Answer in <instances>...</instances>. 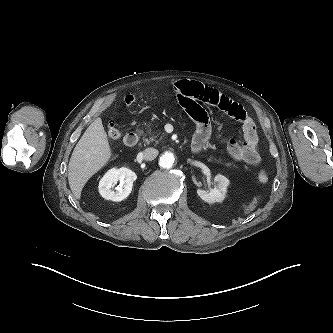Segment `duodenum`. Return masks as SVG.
Returning <instances> with one entry per match:
<instances>
[{
	"instance_id": "duodenum-1",
	"label": "duodenum",
	"mask_w": 333,
	"mask_h": 333,
	"mask_svg": "<svg viewBox=\"0 0 333 333\" xmlns=\"http://www.w3.org/2000/svg\"><path fill=\"white\" fill-rule=\"evenodd\" d=\"M138 140H139V136L136 132H129L124 137V143L128 147H134L138 143ZM192 148L194 151L200 150L199 146L192 147Z\"/></svg>"
}]
</instances>
